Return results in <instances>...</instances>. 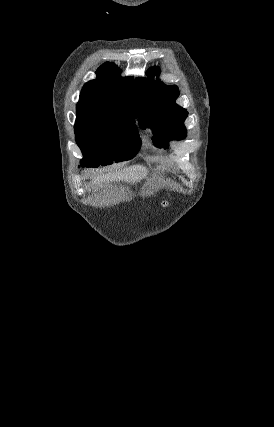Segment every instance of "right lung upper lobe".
<instances>
[{"label": "right lung upper lobe", "mask_w": 274, "mask_h": 427, "mask_svg": "<svg viewBox=\"0 0 274 427\" xmlns=\"http://www.w3.org/2000/svg\"><path fill=\"white\" fill-rule=\"evenodd\" d=\"M96 73L97 79L86 83L81 90L77 113L128 111L138 115L132 97L133 78H121L118 67L110 62Z\"/></svg>", "instance_id": "1"}]
</instances>
